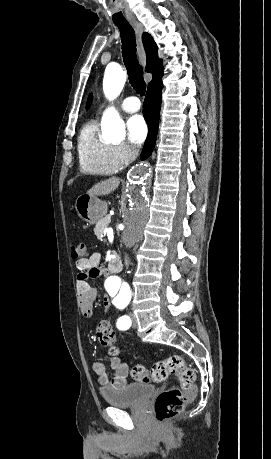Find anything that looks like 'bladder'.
<instances>
[{"mask_svg": "<svg viewBox=\"0 0 271 459\" xmlns=\"http://www.w3.org/2000/svg\"><path fill=\"white\" fill-rule=\"evenodd\" d=\"M155 391L152 383L127 384L122 389L102 390L104 402L114 406L140 405L144 399L149 398Z\"/></svg>", "mask_w": 271, "mask_h": 459, "instance_id": "1", "label": "bladder"}]
</instances>
